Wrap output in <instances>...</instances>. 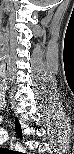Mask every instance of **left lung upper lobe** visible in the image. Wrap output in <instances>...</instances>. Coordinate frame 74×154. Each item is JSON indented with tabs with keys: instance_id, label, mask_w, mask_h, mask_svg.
Instances as JSON below:
<instances>
[{
	"instance_id": "5c2ea615",
	"label": "left lung upper lobe",
	"mask_w": 74,
	"mask_h": 154,
	"mask_svg": "<svg viewBox=\"0 0 74 154\" xmlns=\"http://www.w3.org/2000/svg\"><path fill=\"white\" fill-rule=\"evenodd\" d=\"M16 132L18 137L22 138L21 128L17 119H16Z\"/></svg>"
}]
</instances>
